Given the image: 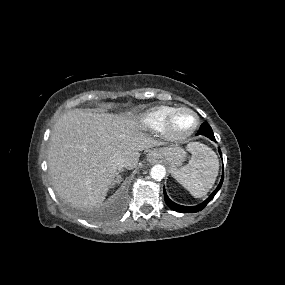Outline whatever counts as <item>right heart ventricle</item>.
Wrapping results in <instances>:
<instances>
[{"label":"right heart ventricle","instance_id":"e07e8e85","mask_svg":"<svg viewBox=\"0 0 285 285\" xmlns=\"http://www.w3.org/2000/svg\"><path fill=\"white\" fill-rule=\"evenodd\" d=\"M173 110L174 108L166 105L156 106L141 113L137 117V123L144 129L161 130Z\"/></svg>","mask_w":285,"mask_h":285}]
</instances>
